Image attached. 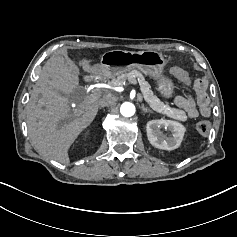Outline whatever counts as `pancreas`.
I'll use <instances>...</instances> for the list:
<instances>
[{"instance_id": "obj_1", "label": "pancreas", "mask_w": 237, "mask_h": 237, "mask_svg": "<svg viewBox=\"0 0 237 237\" xmlns=\"http://www.w3.org/2000/svg\"><path fill=\"white\" fill-rule=\"evenodd\" d=\"M134 78L136 83L138 82L140 85V89L143 93L145 101L149 104V106L157 112L165 114L173 119L185 121L187 116L183 110L170 108L168 105H165L160 99L154 95L151 90L150 84L145 80L144 76L137 70H132L129 73H124L118 75L116 78H113L108 84L112 86H118L129 78Z\"/></svg>"}]
</instances>
